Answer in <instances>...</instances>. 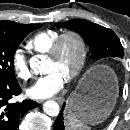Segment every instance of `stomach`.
I'll list each match as a JSON object with an SVG mask.
<instances>
[{"label": "stomach", "instance_id": "0dacf381", "mask_svg": "<svg viewBox=\"0 0 130 130\" xmlns=\"http://www.w3.org/2000/svg\"><path fill=\"white\" fill-rule=\"evenodd\" d=\"M90 76L108 79L109 84L100 85L92 93L84 94L83 86ZM117 97L118 82L114 72L106 66H99L81 81L78 90L69 98L68 113L85 124L94 125L110 115Z\"/></svg>", "mask_w": 130, "mask_h": 130}]
</instances>
